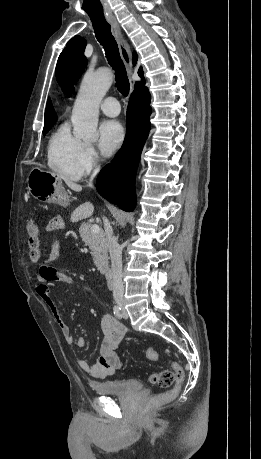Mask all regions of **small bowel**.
Here are the masks:
<instances>
[{"instance_id":"1","label":"small bowel","mask_w":261,"mask_h":459,"mask_svg":"<svg viewBox=\"0 0 261 459\" xmlns=\"http://www.w3.org/2000/svg\"><path fill=\"white\" fill-rule=\"evenodd\" d=\"M62 228H64V223L59 218H52L44 226V229L47 232H53ZM53 261L54 257L50 256L40 265L36 292L44 301V303L49 307L66 342L69 345H76L79 348H83L86 345L85 339L83 337H79L77 339L73 337L68 325L62 319V316L50 295L49 285L51 283H74L72 277L57 271L52 266ZM101 329L103 333V339L100 344V354L97 361L93 363L87 359H80L78 361V365L83 371L97 379H102L112 375L120 366V358L117 353V348L125 334V327L110 314L103 316L101 320Z\"/></svg>"}]
</instances>
